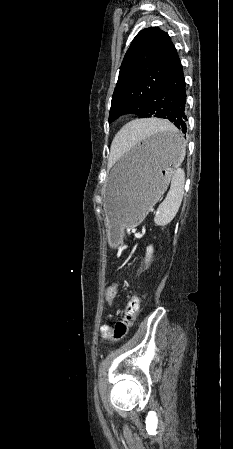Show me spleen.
I'll use <instances>...</instances> for the list:
<instances>
[{"label": "spleen", "mask_w": 233, "mask_h": 449, "mask_svg": "<svg viewBox=\"0 0 233 449\" xmlns=\"http://www.w3.org/2000/svg\"><path fill=\"white\" fill-rule=\"evenodd\" d=\"M168 131L177 132L173 127L168 128V125H146L145 131H139L138 134H132L130 141L122 144L117 151V156L124 154L135 144L137 139L134 138H142L144 142H149L153 133H168ZM178 136L181 135L178 133ZM181 146L184 155L185 143L183 138L181 140ZM184 183L185 173L181 168L177 167L172 175L170 190L164 201L159 205L158 213L154 217L156 225L165 226L176 216L183 199Z\"/></svg>", "instance_id": "spleen-1"}]
</instances>
